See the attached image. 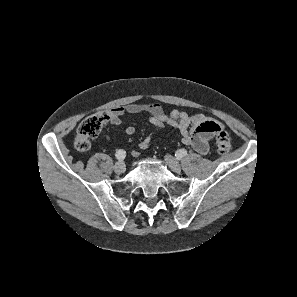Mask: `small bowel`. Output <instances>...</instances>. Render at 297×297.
<instances>
[{"label": "small bowel", "instance_id": "small-bowel-1", "mask_svg": "<svg viewBox=\"0 0 297 297\" xmlns=\"http://www.w3.org/2000/svg\"><path fill=\"white\" fill-rule=\"evenodd\" d=\"M147 113L149 121L155 126V131L145 137L139 144L141 150L149 149L153 144V138L156 132L169 126L178 130L182 142L191 146L200 154H206L209 150L208 142L221 130V125L213 118L204 114H188L185 111L177 109L166 113L159 104L131 103L125 106L117 107L111 112V122L119 125L121 117L130 114ZM136 129L133 126H126L124 132L131 136ZM133 156H138V151L132 152Z\"/></svg>", "mask_w": 297, "mask_h": 297}]
</instances>
